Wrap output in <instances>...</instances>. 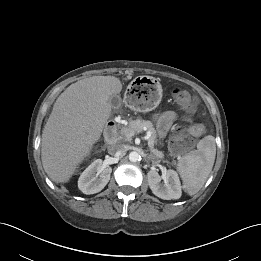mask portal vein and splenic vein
Masks as SVG:
<instances>
[{
  "instance_id": "portal-vein-and-splenic-vein-1",
  "label": "portal vein and splenic vein",
  "mask_w": 261,
  "mask_h": 261,
  "mask_svg": "<svg viewBox=\"0 0 261 261\" xmlns=\"http://www.w3.org/2000/svg\"><path fill=\"white\" fill-rule=\"evenodd\" d=\"M126 136H127L128 138H131L132 136H134V133H133V132H127V133H126ZM144 139H145V140H149V137H148V136H144ZM148 146H149V147H152V146H151V143H150L149 141H148Z\"/></svg>"
}]
</instances>
